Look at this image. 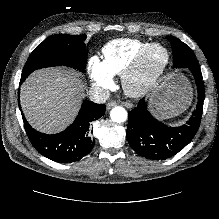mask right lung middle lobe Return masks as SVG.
Here are the masks:
<instances>
[{
	"instance_id": "dd1d6c3e",
	"label": "right lung middle lobe",
	"mask_w": 219,
	"mask_h": 219,
	"mask_svg": "<svg viewBox=\"0 0 219 219\" xmlns=\"http://www.w3.org/2000/svg\"><path fill=\"white\" fill-rule=\"evenodd\" d=\"M86 35L56 34L39 44L30 54L22 71L24 81L34 70L69 66L83 72L87 62Z\"/></svg>"
}]
</instances>
